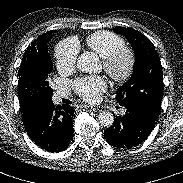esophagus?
Wrapping results in <instances>:
<instances>
[{"instance_id":"1","label":"esophagus","mask_w":183,"mask_h":183,"mask_svg":"<svg viewBox=\"0 0 183 183\" xmlns=\"http://www.w3.org/2000/svg\"><path fill=\"white\" fill-rule=\"evenodd\" d=\"M82 108H85V109L90 110V111H96L97 110L95 107L87 106V105L82 106Z\"/></svg>"}]
</instances>
